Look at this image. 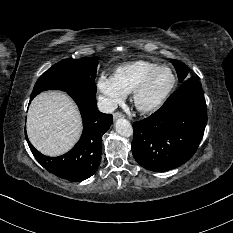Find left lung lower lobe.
Masks as SVG:
<instances>
[{
  "label": "left lung lower lobe",
  "mask_w": 233,
  "mask_h": 233,
  "mask_svg": "<svg viewBox=\"0 0 233 233\" xmlns=\"http://www.w3.org/2000/svg\"><path fill=\"white\" fill-rule=\"evenodd\" d=\"M206 123L201 83L195 78L187 79L159 110L133 124V156L151 171L177 168L196 152Z\"/></svg>",
  "instance_id": "left-lung-lower-lobe-1"
}]
</instances>
